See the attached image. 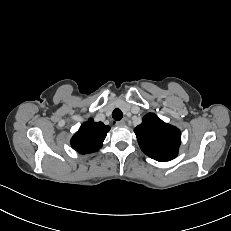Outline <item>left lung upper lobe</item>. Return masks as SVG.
I'll use <instances>...</instances> for the list:
<instances>
[{"instance_id":"obj_1","label":"left lung upper lobe","mask_w":231,"mask_h":231,"mask_svg":"<svg viewBox=\"0 0 231 231\" xmlns=\"http://www.w3.org/2000/svg\"><path fill=\"white\" fill-rule=\"evenodd\" d=\"M134 132L141 150L149 157L160 161L174 159L181 143L178 128L163 122L155 114L148 113Z\"/></svg>"}]
</instances>
